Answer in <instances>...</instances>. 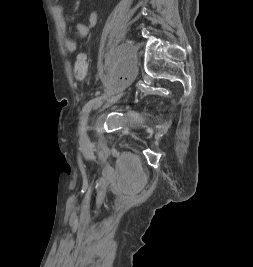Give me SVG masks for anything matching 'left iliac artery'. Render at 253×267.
<instances>
[{
  "mask_svg": "<svg viewBox=\"0 0 253 267\" xmlns=\"http://www.w3.org/2000/svg\"><path fill=\"white\" fill-rule=\"evenodd\" d=\"M105 96H106V94H103V95H101V96L95 97V98L89 100V101L85 104V106H84L83 109H82L81 121H83L84 118L88 115V113L91 111V108H92L94 105L100 103L101 100H102Z\"/></svg>",
  "mask_w": 253,
  "mask_h": 267,
  "instance_id": "obj_1",
  "label": "left iliac artery"
}]
</instances>
